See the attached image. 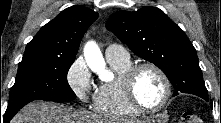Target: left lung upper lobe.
Here are the masks:
<instances>
[{"label": "left lung upper lobe", "mask_w": 221, "mask_h": 123, "mask_svg": "<svg viewBox=\"0 0 221 123\" xmlns=\"http://www.w3.org/2000/svg\"><path fill=\"white\" fill-rule=\"evenodd\" d=\"M136 55L155 64L174 86L208 101L196 50L183 30L157 7L118 11L106 24Z\"/></svg>", "instance_id": "obj_1"}]
</instances>
